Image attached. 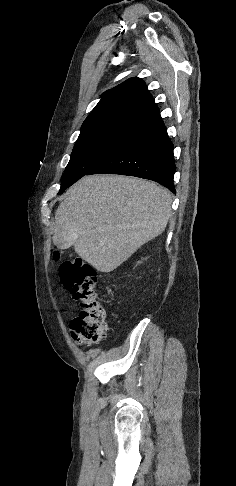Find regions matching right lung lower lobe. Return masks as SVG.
I'll return each instance as SVG.
<instances>
[{"mask_svg": "<svg viewBox=\"0 0 236 486\" xmlns=\"http://www.w3.org/2000/svg\"><path fill=\"white\" fill-rule=\"evenodd\" d=\"M176 171L173 144L160 113L147 117L138 132L109 155L90 174H120L153 180L176 193L173 176Z\"/></svg>", "mask_w": 236, "mask_h": 486, "instance_id": "right-lung-lower-lobe-1", "label": "right lung lower lobe"}]
</instances>
